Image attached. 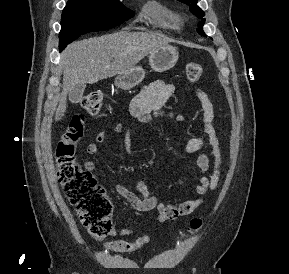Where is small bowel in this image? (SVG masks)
<instances>
[{
  "label": "small bowel",
  "mask_w": 289,
  "mask_h": 274,
  "mask_svg": "<svg viewBox=\"0 0 289 274\" xmlns=\"http://www.w3.org/2000/svg\"><path fill=\"white\" fill-rule=\"evenodd\" d=\"M176 87L172 83H167L163 80H156L144 87L142 92L137 95L131 104V110L137 123H148L155 118H167L175 121H182L181 114L174 113L166 109L167 101L172 97ZM196 97L198 98L201 108V133L188 140L182 147V152L186 155H195V163L200 173L198 183L195 185V192L198 197L188 199L178 204L164 203L159 201L156 195L150 193L141 181L135 184L136 192L127 189L122 184L115 185L116 192L126 199L131 206L139 212H148L156 210V219L158 222H166L176 220L183 216H188L196 211L204 203L203 196L208 192L216 189L221 173L222 154L220 142L214 127L215 111L212 101L209 96L201 89H196ZM136 128V124L130 126L126 133L129 137ZM114 131L118 134L124 132V127L118 123ZM107 131L98 133L95 137V142L87 147V152L90 155H96L100 152L99 144L107 138ZM210 146V155L203 151L205 146ZM212 159H211V158ZM85 170L92 172L96 168L93 159L87 158L84 161ZM212 166L211 174H208ZM131 231L126 228L113 230L111 235L128 236ZM152 238L149 235H141L133 241L125 239H112L106 241L103 247L110 252L115 253H130L141 249L149 244Z\"/></svg>",
  "instance_id": "obj_1"
}]
</instances>
